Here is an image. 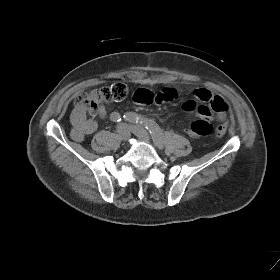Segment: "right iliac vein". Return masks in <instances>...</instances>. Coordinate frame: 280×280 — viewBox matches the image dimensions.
Returning a JSON list of instances; mask_svg holds the SVG:
<instances>
[{
    "label": "right iliac vein",
    "instance_id": "obj_1",
    "mask_svg": "<svg viewBox=\"0 0 280 280\" xmlns=\"http://www.w3.org/2000/svg\"><path fill=\"white\" fill-rule=\"evenodd\" d=\"M117 131L122 140L127 141L130 138V129L126 124H120Z\"/></svg>",
    "mask_w": 280,
    "mask_h": 280
}]
</instances>
